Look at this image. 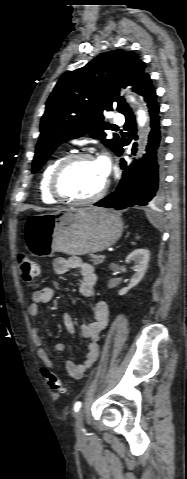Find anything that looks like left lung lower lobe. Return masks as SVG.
Listing matches in <instances>:
<instances>
[{
	"mask_svg": "<svg viewBox=\"0 0 187 479\" xmlns=\"http://www.w3.org/2000/svg\"><path fill=\"white\" fill-rule=\"evenodd\" d=\"M138 94L144 97L151 119L147 154L143 156L141 161L128 167L125 160L122 159L121 168L124 171L117 189L106 198L95 203V206L121 210L132 206L156 205L163 197V139L160 131L159 105L150 77L143 80ZM123 114L126 117L124 128L130 132L127 143H130L137 139L135 117L130 107ZM124 145L121 142V147L117 152L118 156L123 153ZM132 151L135 153L136 143H134Z\"/></svg>",
	"mask_w": 187,
	"mask_h": 479,
	"instance_id": "obj_1",
	"label": "left lung lower lobe"
}]
</instances>
